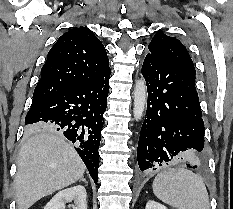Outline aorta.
<instances>
[{"instance_id":"aorta-1","label":"aorta","mask_w":233,"mask_h":209,"mask_svg":"<svg viewBox=\"0 0 233 209\" xmlns=\"http://www.w3.org/2000/svg\"><path fill=\"white\" fill-rule=\"evenodd\" d=\"M133 99H134V103H133L134 118L136 121H139L141 120L144 114L146 100H147V87H146V82L143 78L139 79L136 82Z\"/></svg>"}]
</instances>
